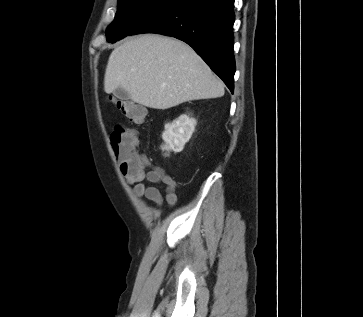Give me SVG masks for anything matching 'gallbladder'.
Wrapping results in <instances>:
<instances>
[{"mask_svg": "<svg viewBox=\"0 0 363 317\" xmlns=\"http://www.w3.org/2000/svg\"><path fill=\"white\" fill-rule=\"evenodd\" d=\"M114 96H116L119 99H128L129 98V94L122 88L118 87L117 89L114 90L113 92Z\"/></svg>", "mask_w": 363, "mask_h": 317, "instance_id": "gallbladder-1", "label": "gallbladder"}]
</instances>
